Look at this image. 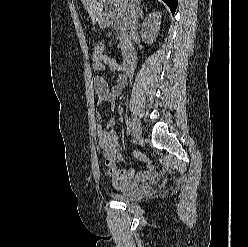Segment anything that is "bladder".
Wrapping results in <instances>:
<instances>
[{
  "label": "bladder",
  "instance_id": "1",
  "mask_svg": "<svg viewBox=\"0 0 248 247\" xmlns=\"http://www.w3.org/2000/svg\"><path fill=\"white\" fill-rule=\"evenodd\" d=\"M152 190V185L142 184L131 191H118L113 194V197L121 202H130L148 195Z\"/></svg>",
  "mask_w": 248,
  "mask_h": 247
}]
</instances>
